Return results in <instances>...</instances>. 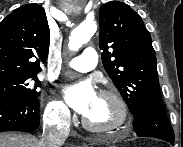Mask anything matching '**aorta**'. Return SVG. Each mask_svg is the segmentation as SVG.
I'll return each instance as SVG.
<instances>
[{
  "label": "aorta",
  "instance_id": "aorta-1",
  "mask_svg": "<svg viewBox=\"0 0 183 147\" xmlns=\"http://www.w3.org/2000/svg\"><path fill=\"white\" fill-rule=\"evenodd\" d=\"M97 30V24L94 20H85L73 29L69 37V49L77 51L86 44Z\"/></svg>",
  "mask_w": 183,
  "mask_h": 147
}]
</instances>
